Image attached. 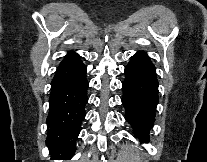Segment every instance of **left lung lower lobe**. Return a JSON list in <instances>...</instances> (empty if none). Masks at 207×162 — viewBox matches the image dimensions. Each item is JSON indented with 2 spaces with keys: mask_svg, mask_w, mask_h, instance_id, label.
Listing matches in <instances>:
<instances>
[{
  "mask_svg": "<svg viewBox=\"0 0 207 162\" xmlns=\"http://www.w3.org/2000/svg\"><path fill=\"white\" fill-rule=\"evenodd\" d=\"M122 103L126 120L141 142H148L158 103L156 69L144 52L136 53L125 67Z\"/></svg>",
  "mask_w": 207,
  "mask_h": 162,
  "instance_id": "0a47b994",
  "label": "left lung lower lobe"
}]
</instances>
